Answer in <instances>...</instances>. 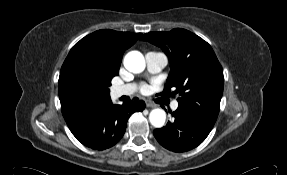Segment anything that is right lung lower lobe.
Returning a JSON list of instances; mask_svg holds the SVG:
<instances>
[{
    "label": "right lung lower lobe",
    "mask_w": 287,
    "mask_h": 175,
    "mask_svg": "<svg viewBox=\"0 0 287 175\" xmlns=\"http://www.w3.org/2000/svg\"><path fill=\"white\" fill-rule=\"evenodd\" d=\"M144 108L145 103L142 100L114 105L108 98L82 114L65 118V121L72 134L83 145L104 150L114 146L123 137L129 116L143 111Z\"/></svg>",
    "instance_id": "obj_1"
}]
</instances>
